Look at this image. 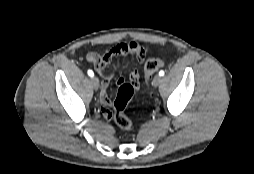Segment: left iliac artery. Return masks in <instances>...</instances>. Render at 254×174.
I'll list each match as a JSON object with an SVG mask.
<instances>
[{
  "label": "left iliac artery",
  "mask_w": 254,
  "mask_h": 174,
  "mask_svg": "<svg viewBox=\"0 0 254 174\" xmlns=\"http://www.w3.org/2000/svg\"><path fill=\"white\" fill-rule=\"evenodd\" d=\"M164 74H165V72H164L163 70H161V71L159 72V76H164Z\"/></svg>",
  "instance_id": "left-iliac-artery-1"
}]
</instances>
